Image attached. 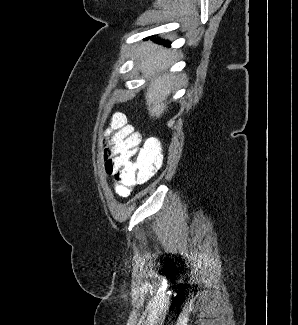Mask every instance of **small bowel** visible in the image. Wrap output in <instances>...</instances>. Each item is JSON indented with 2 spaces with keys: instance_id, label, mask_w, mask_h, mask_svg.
I'll return each instance as SVG.
<instances>
[{
  "instance_id": "obj_1",
  "label": "small bowel",
  "mask_w": 298,
  "mask_h": 325,
  "mask_svg": "<svg viewBox=\"0 0 298 325\" xmlns=\"http://www.w3.org/2000/svg\"><path fill=\"white\" fill-rule=\"evenodd\" d=\"M113 185H114L115 192L121 197L128 196L133 189V186H124L117 183L115 180L113 181Z\"/></svg>"
}]
</instances>
